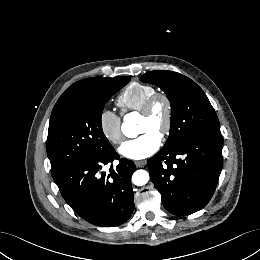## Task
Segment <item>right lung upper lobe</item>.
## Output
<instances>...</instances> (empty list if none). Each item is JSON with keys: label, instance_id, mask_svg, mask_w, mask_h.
Here are the masks:
<instances>
[{"label": "right lung upper lobe", "instance_id": "right-lung-upper-lobe-1", "mask_svg": "<svg viewBox=\"0 0 260 260\" xmlns=\"http://www.w3.org/2000/svg\"><path fill=\"white\" fill-rule=\"evenodd\" d=\"M123 77L126 76L115 77V78H123ZM110 79L113 78L96 77V78H87L74 83L61 95V97L58 99L57 103L55 104L53 111L57 110L62 106L72 104L75 101L85 99L95 87L101 85L102 83Z\"/></svg>", "mask_w": 260, "mask_h": 260}]
</instances>
